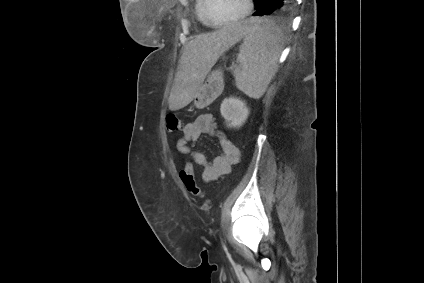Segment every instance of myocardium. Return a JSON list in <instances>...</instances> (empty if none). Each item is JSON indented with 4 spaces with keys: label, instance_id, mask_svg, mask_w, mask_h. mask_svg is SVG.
I'll return each instance as SVG.
<instances>
[{
    "label": "myocardium",
    "instance_id": "f54148a6",
    "mask_svg": "<svg viewBox=\"0 0 424 283\" xmlns=\"http://www.w3.org/2000/svg\"><path fill=\"white\" fill-rule=\"evenodd\" d=\"M210 3H211V0H204L203 16L207 25L211 27H216V28L231 25L245 19L252 12L253 6H254L253 0H246V8L241 15L229 21L216 23L212 21L209 15Z\"/></svg>",
    "mask_w": 424,
    "mask_h": 283
}]
</instances>
